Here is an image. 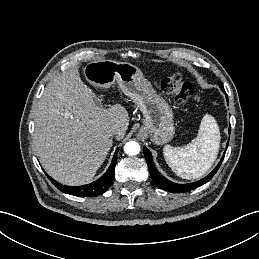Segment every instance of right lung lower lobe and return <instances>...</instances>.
<instances>
[{
	"mask_svg": "<svg viewBox=\"0 0 259 259\" xmlns=\"http://www.w3.org/2000/svg\"><path fill=\"white\" fill-rule=\"evenodd\" d=\"M116 158H117V151L114 154L113 160L110 164V167L106 171V173L101 178H99L95 182H92L88 185L75 186V187L66 186V185H62V184L58 183L57 181L53 180L50 176H48V178L63 193L74 195V196H82V197L98 196V195L104 193L113 182L115 166H116Z\"/></svg>",
	"mask_w": 259,
	"mask_h": 259,
	"instance_id": "right-lung-lower-lobe-1",
	"label": "right lung lower lobe"
}]
</instances>
